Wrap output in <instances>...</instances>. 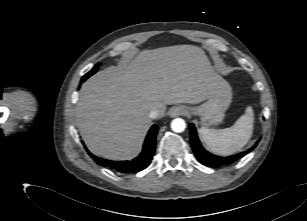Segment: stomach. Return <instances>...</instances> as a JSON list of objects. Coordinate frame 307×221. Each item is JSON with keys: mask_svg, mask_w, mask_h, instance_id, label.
Listing matches in <instances>:
<instances>
[{"mask_svg": "<svg viewBox=\"0 0 307 221\" xmlns=\"http://www.w3.org/2000/svg\"><path fill=\"white\" fill-rule=\"evenodd\" d=\"M231 101L232 89L229 83L223 80L204 103L191 108V113L200 116L204 127L218 125L223 121Z\"/></svg>", "mask_w": 307, "mask_h": 221, "instance_id": "0dacf381", "label": "stomach"}]
</instances>
